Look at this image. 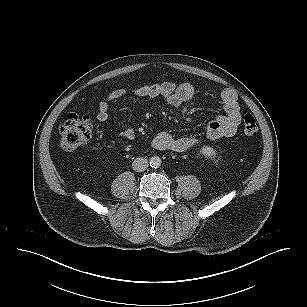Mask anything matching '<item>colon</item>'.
<instances>
[{
    "label": "colon",
    "mask_w": 307,
    "mask_h": 307,
    "mask_svg": "<svg viewBox=\"0 0 307 307\" xmlns=\"http://www.w3.org/2000/svg\"><path fill=\"white\" fill-rule=\"evenodd\" d=\"M257 123L253 115L246 114L243 118V131L246 135L257 132ZM94 122L87 116L70 114L60 128L61 148L72 151L85 144L92 136Z\"/></svg>",
    "instance_id": "colon-1"
}]
</instances>
